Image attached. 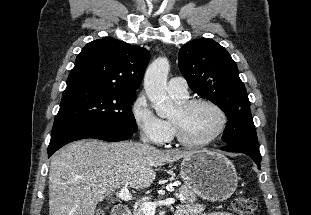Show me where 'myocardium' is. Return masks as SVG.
Segmentation results:
<instances>
[{
	"label": "myocardium",
	"mask_w": 311,
	"mask_h": 215,
	"mask_svg": "<svg viewBox=\"0 0 311 215\" xmlns=\"http://www.w3.org/2000/svg\"><path fill=\"white\" fill-rule=\"evenodd\" d=\"M199 104L209 105L212 108H214L220 116V124H219L217 130L210 137H208L207 139H205L203 141L196 142V141L189 140L185 136L181 125L178 122L171 119V123H172V126L174 128L178 142L180 144H182L183 146L188 147V148H202V147L210 145L212 142H214L224 132V130L227 126V115H226L225 111L221 108L220 105H218L216 102H214L210 99H207V98L187 99L184 102L178 104L177 109L181 113H186L192 107L199 105Z\"/></svg>",
	"instance_id": "myocardium-1"
}]
</instances>
